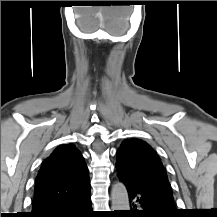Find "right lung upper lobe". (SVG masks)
<instances>
[{
	"instance_id": "cb5924a9",
	"label": "right lung upper lobe",
	"mask_w": 217,
	"mask_h": 217,
	"mask_svg": "<svg viewBox=\"0 0 217 217\" xmlns=\"http://www.w3.org/2000/svg\"><path fill=\"white\" fill-rule=\"evenodd\" d=\"M90 192L88 168L73 144L61 145L43 162L36 178L31 213Z\"/></svg>"
}]
</instances>
